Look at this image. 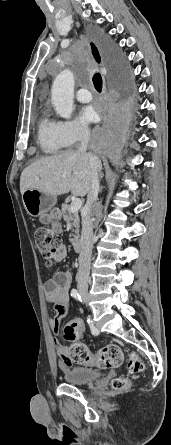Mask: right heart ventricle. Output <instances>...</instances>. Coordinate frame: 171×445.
<instances>
[{"label": "right heart ventricle", "instance_id": "1", "mask_svg": "<svg viewBox=\"0 0 171 445\" xmlns=\"http://www.w3.org/2000/svg\"><path fill=\"white\" fill-rule=\"evenodd\" d=\"M37 140L41 150L47 154L58 153L67 146L60 135L57 122L48 116H43L39 121Z\"/></svg>", "mask_w": 171, "mask_h": 445}]
</instances>
